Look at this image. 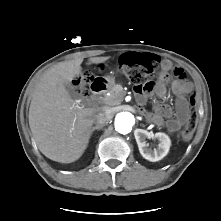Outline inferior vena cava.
<instances>
[{"instance_id":"inferior-vena-cava-1","label":"inferior vena cava","mask_w":221,"mask_h":221,"mask_svg":"<svg viewBox=\"0 0 221 221\" xmlns=\"http://www.w3.org/2000/svg\"><path fill=\"white\" fill-rule=\"evenodd\" d=\"M111 119V114L107 110H100L93 115V123L96 126L103 127Z\"/></svg>"}]
</instances>
